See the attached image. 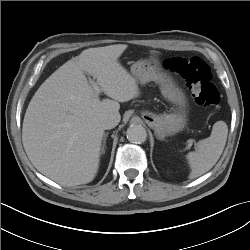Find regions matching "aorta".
<instances>
[{
    "label": "aorta",
    "mask_w": 250,
    "mask_h": 250,
    "mask_svg": "<svg viewBox=\"0 0 250 250\" xmlns=\"http://www.w3.org/2000/svg\"><path fill=\"white\" fill-rule=\"evenodd\" d=\"M127 139L132 143H144L147 139L145 128L138 124H132L127 129Z\"/></svg>",
    "instance_id": "obj_1"
}]
</instances>
